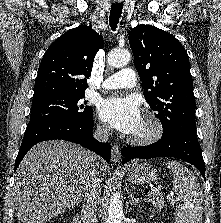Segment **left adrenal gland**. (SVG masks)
<instances>
[{"instance_id":"a2214340","label":"left adrenal gland","mask_w":221,"mask_h":223,"mask_svg":"<svg viewBox=\"0 0 221 223\" xmlns=\"http://www.w3.org/2000/svg\"><path fill=\"white\" fill-rule=\"evenodd\" d=\"M129 199H130V204L133 205V206H137L138 203L141 202V199L135 198L133 194L129 195Z\"/></svg>"}]
</instances>
